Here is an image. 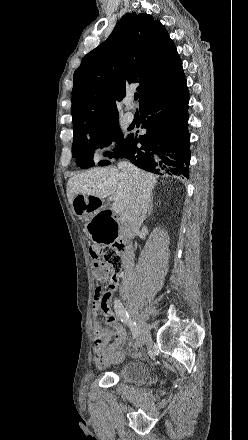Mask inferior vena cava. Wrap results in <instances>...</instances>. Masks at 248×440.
I'll use <instances>...</instances> for the list:
<instances>
[{
  "label": "inferior vena cava",
  "instance_id": "obj_1",
  "mask_svg": "<svg viewBox=\"0 0 248 440\" xmlns=\"http://www.w3.org/2000/svg\"><path fill=\"white\" fill-rule=\"evenodd\" d=\"M118 168L135 183L132 200L125 208L120 220L121 228L127 238L133 239L139 231V228L145 219L147 210L149 209L151 192L141 170L137 167L128 161H121L118 164ZM132 259L133 253L128 252L124 255L122 260L125 268L126 281L129 279L128 276L131 273L129 264Z\"/></svg>",
  "mask_w": 248,
  "mask_h": 440
}]
</instances>
